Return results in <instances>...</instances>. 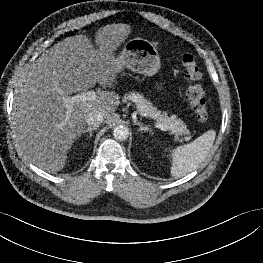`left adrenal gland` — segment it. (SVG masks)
<instances>
[{"instance_id": "1", "label": "left adrenal gland", "mask_w": 263, "mask_h": 263, "mask_svg": "<svg viewBox=\"0 0 263 263\" xmlns=\"http://www.w3.org/2000/svg\"><path fill=\"white\" fill-rule=\"evenodd\" d=\"M134 125H138L139 126V131L141 132H149V134H152L150 128L148 126H144L141 122H136L134 121Z\"/></svg>"}]
</instances>
